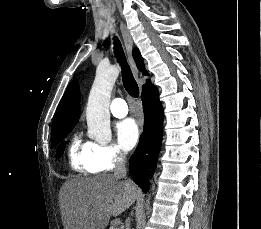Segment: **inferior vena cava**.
Masks as SVG:
<instances>
[{"label":"inferior vena cava","instance_id":"inferior-vena-cava-1","mask_svg":"<svg viewBox=\"0 0 261 229\" xmlns=\"http://www.w3.org/2000/svg\"><path fill=\"white\" fill-rule=\"evenodd\" d=\"M127 175V169H126V161L125 157H119L115 163V171L113 177H118V179H126ZM125 183H128V181H125ZM126 221H130V217L126 219Z\"/></svg>","mask_w":261,"mask_h":229}]
</instances>
